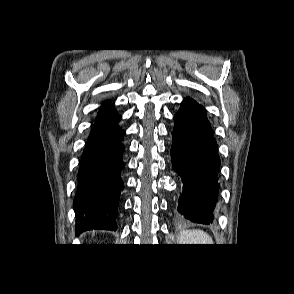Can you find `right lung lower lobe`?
<instances>
[{
    "instance_id": "1",
    "label": "right lung lower lobe",
    "mask_w": 294,
    "mask_h": 294,
    "mask_svg": "<svg viewBox=\"0 0 294 294\" xmlns=\"http://www.w3.org/2000/svg\"><path fill=\"white\" fill-rule=\"evenodd\" d=\"M117 114L106 101L91 130L78 172V190L74 199L76 234L87 230H116L115 217L123 182L122 138Z\"/></svg>"
}]
</instances>
